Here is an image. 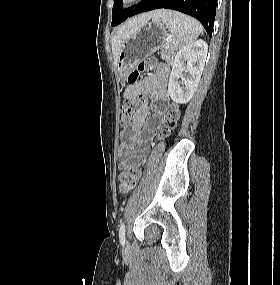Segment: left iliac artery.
Returning a JSON list of instances; mask_svg holds the SVG:
<instances>
[{"instance_id": "44dca946", "label": "left iliac artery", "mask_w": 280, "mask_h": 285, "mask_svg": "<svg viewBox=\"0 0 280 285\" xmlns=\"http://www.w3.org/2000/svg\"><path fill=\"white\" fill-rule=\"evenodd\" d=\"M119 239L122 245L125 244V224L124 222L121 223L120 230H119Z\"/></svg>"}]
</instances>
